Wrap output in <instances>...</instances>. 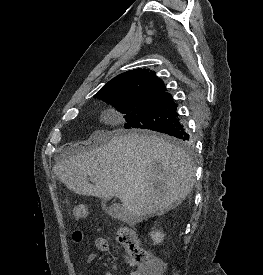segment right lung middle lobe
I'll use <instances>...</instances> for the list:
<instances>
[{"label": "right lung middle lobe", "mask_w": 263, "mask_h": 275, "mask_svg": "<svg viewBox=\"0 0 263 275\" xmlns=\"http://www.w3.org/2000/svg\"><path fill=\"white\" fill-rule=\"evenodd\" d=\"M94 97L112 104L116 110L125 114L126 129L156 131L160 127L179 120L177 105L171 96H133L122 91H113ZM170 141L176 145L188 147L176 137L172 136Z\"/></svg>", "instance_id": "1"}]
</instances>
